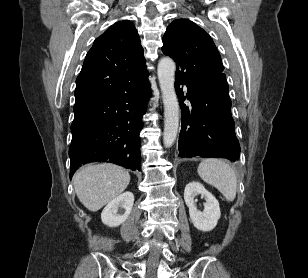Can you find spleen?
I'll use <instances>...</instances> for the list:
<instances>
[{
	"mask_svg": "<svg viewBox=\"0 0 308 278\" xmlns=\"http://www.w3.org/2000/svg\"><path fill=\"white\" fill-rule=\"evenodd\" d=\"M197 172L203 181L218 189L227 201H234L237 177L228 163L217 158H207L199 164Z\"/></svg>",
	"mask_w": 308,
	"mask_h": 278,
	"instance_id": "obj_1",
	"label": "spleen"
}]
</instances>
